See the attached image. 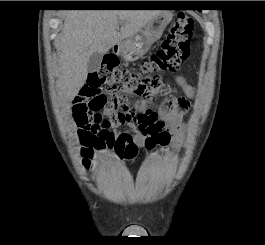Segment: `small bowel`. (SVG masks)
<instances>
[{"label": "small bowel", "mask_w": 265, "mask_h": 245, "mask_svg": "<svg viewBox=\"0 0 265 245\" xmlns=\"http://www.w3.org/2000/svg\"><path fill=\"white\" fill-rule=\"evenodd\" d=\"M176 82L183 89L187 97H191L194 94V88L189 85L182 76L176 78ZM165 88L164 102L161 107L154 113L159 119L164 121L166 126L170 129L172 133L171 147L174 150H179L186 145L184 128L182 125L183 116L187 110L186 102L183 99L170 97L171 90L161 83ZM101 102V95L99 93H94L93 89L85 85L82 87L77 98L73 103L75 109L76 117L80 120L83 114L89 113L91 111L92 105L99 104ZM135 110L144 112L146 110V105L144 102H138L134 106ZM106 115H112L111 109L104 108ZM120 124L117 121H111L109 124H101L100 129L111 132L117 141H122L124 146L138 151V142L144 140L143 136L136 134L135 127L130 125V130L123 132H116L114 129ZM107 149L104 145H99L95 147H85L79 146V154L82 159L83 168L89 173L101 172L102 168L97 163V155ZM134 156V155H133ZM133 156H122L117 154V159L119 161H126L131 159Z\"/></svg>", "instance_id": "1"}]
</instances>
